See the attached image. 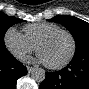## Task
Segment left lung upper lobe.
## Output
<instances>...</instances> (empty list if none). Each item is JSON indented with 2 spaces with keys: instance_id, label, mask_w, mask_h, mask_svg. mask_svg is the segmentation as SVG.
Instances as JSON below:
<instances>
[{
  "instance_id": "left-lung-upper-lobe-1",
  "label": "left lung upper lobe",
  "mask_w": 89,
  "mask_h": 89,
  "mask_svg": "<svg viewBox=\"0 0 89 89\" xmlns=\"http://www.w3.org/2000/svg\"><path fill=\"white\" fill-rule=\"evenodd\" d=\"M49 21L60 23L71 32L76 43L75 55L89 51V23L67 15H57Z\"/></svg>"
}]
</instances>
